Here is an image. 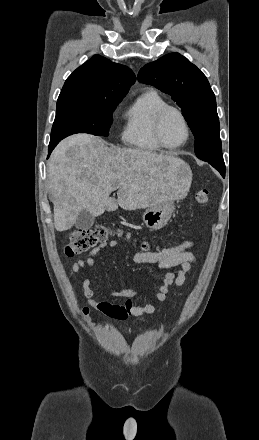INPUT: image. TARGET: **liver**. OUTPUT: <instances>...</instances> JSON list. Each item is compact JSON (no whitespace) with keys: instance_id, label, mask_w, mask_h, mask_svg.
<instances>
[{"instance_id":"liver-1","label":"liver","mask_w":259,"mask_h":440,"mask_svg":"<svg viewBox=\"0 0 259 440\" xmlns=\"http://www.w3.org/2000/svg\"><path fill=\"white\" fill-rule=\"evenodd\" d=\"M54 226L69 230L78 214L150 208L185 196L191 171L181 159L163 153L108 147L101 138L76 134L62 140L48 165ZM117 191V200L110 194Z\"/></svg>"}]
</instances>
